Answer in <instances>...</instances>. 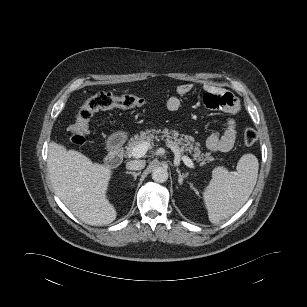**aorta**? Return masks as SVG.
Wrapping results in <instances>:
<instances>
[{
    "label": "aorta",
    "mask_w": 307,
    "mask_h": 307,
    "mask_svg": "<svg viewBox=\"0 0 307 307\" xmlns=\"http://www.w3.org/2000/svg\"><path fill=\"white\" fill-rule=\"evenodd\" d=\"M152 179L158 183H164L168 179V171L163 167H156L152 171Z\"/></svg>",
    "instance_id": "obj_1"
}]
</instances>
